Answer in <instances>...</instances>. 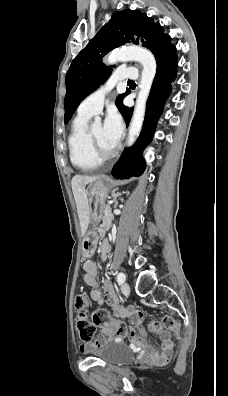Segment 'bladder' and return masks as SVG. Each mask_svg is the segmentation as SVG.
Masks as SVG:
<instances>
[{
    "instance_id": "1",
    "label": "bladder",
    "mask_w": 228,
    "mask_h": 396,
    "mask_svg": "<svg viewBox=\"0 0 228 396\" xmlns=\"http://www.w3.org/2000/svg\"><path fill=\"white\" fill-rule=\"evenodd\" d=\"M88 354L103 360L109 365H125L131 362L134 354L131 348L122 342L108 341L87 351Z\"/></svg>"
}]
</instances>
